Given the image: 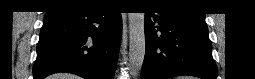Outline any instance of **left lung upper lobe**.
Returning a JSON list of instances; mask_svg holds the SVG:
<instances>
[{
  "label": "left lung upper lobe",
  "mask_w": 255,
  "mask_h": 79,
  "mask_svg": "<svg viewBox=\"0 0 255 79\" xmlns=\"http://www.w3.org/2000/svg\"><path fill=\"white\" fill-rule=\"evenodd\" d=\"M163 5H166V6H169V7H176V8H179L180 6L177 5V1L175 0H163V1H160Z\"/></svg>",
  "instance_id": "left-lung-upper-lobe-1"
}]
</instances>
